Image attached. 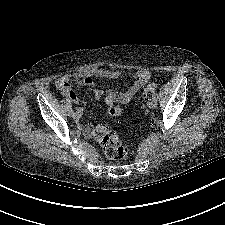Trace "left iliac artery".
<instances>
[{
    "label": "left iliac artery",
    "mask_w": 225,
    "mask_h": 225,
    "mask_svg": "<svg viewBox=\"0 0 225 225\" xmlns=\"http://www.w3.org/2000/svg\"><path fill=\"white\" fill-rule=\"evenodd\" d=\"M152 97H153L154 99H157V98H158V94H157V93H154Z\"/></svg>",
    "instance_id": "44dca946"
}]
</instances>
